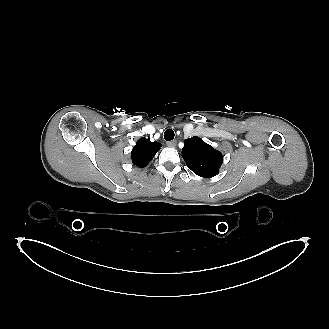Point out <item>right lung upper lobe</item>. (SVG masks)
I'll list each match as a JSON object with an SVG mask.
<instances>
[{"mask_svg": "<svg viewBox=\"0 0 329 329\" xmlns=\"http://www.w3.org/2000/svg\"><path fill=\"white\" fill-rule=\"evenodd\" d=\"M161 144L151 142L147 138H141L131 151L132 162L138 167H145L160 150Z\"/></svg>", "mask_w": 329, "mask_h": 329, "instance_id": "right-lung-upper-lobe-1", "label": "right lung upper lobe"}]
</instances>
